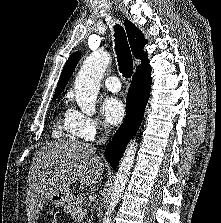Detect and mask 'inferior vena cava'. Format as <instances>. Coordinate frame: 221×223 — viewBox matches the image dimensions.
Returning <instances> with one entry per match:
<instances>
[{
    "label": "inferior vena cava",
    "mask_w": 221,
    "mask_h": 223,
    "mask_svg": "<svg viewBox=\"0 0 221 223\" xmlns=\"http://www.w3.org/2000/svg\"><path fill=\"white\" fill-rule=\"evenodd\" d=\"M105 129V134H103L98 140H97V144H104L107 141V136L110 133V128L109 127H104Z\"/></svg>",
    "instance_id": "602c4592"
}]
</instances>
